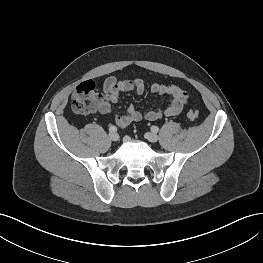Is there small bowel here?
I'll return each mask as SVG.
<instances>
[{"label": "small bowel", "mask_w": 263, "mask_h": 263, "mask_svg": "<svg viewBox=\"0 0 263 263\" xmlns=\"http://www.w3.org/2000/svg\"><path fill=\"white\" fill-rule=\"evenodd\" d=\"M145 89V83L140 78L128 80L110 76L103 83L94 112L106 115L110 112L111 105L119 102L121 93L133 92L141 95L145 92ZM149 90L155 95L170 96V104L165 109H157L145 113L141 112L135 106H129L124 114L116 115L114 117L116 125L119 127H127L129 124L142 119L155 121L163 116H176L181 113L188 101L187 92L175 84H161L154 82L150 84Z\"/></svg>", "instance_id": "small-bowel-1"}]
</instances>
